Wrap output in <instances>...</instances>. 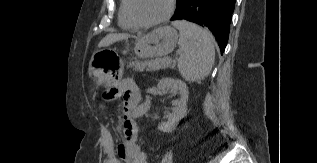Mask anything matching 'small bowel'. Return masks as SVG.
Wrapping results in <instances>:
<instances>
[{
	"label": "small bowel",
	"mask_w": 317,
	"mask_h": 163,
	"mask_svg": "<svg viewBox=\"0 0 317 163\" xmlns=\"http://www.w3.org/2000/svg\"><path fill=\"white\" fill-rule=\"evenodd\" d=\"M118 91L123 96L124 140L115 145L111 132L109 130L105 132L102 138V150L105 156L103 163H148L146 154L137 143L136 119L145 113V108L140 104V89L132 79H126L120 83Z\"/></svg>",
	"instance_id": "obj_1"
}]
</instances>
